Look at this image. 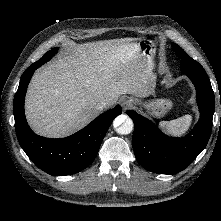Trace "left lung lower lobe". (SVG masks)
I'll list each match as a JSON object with an SVG mask.
<instances>
[{
    "instance_id": "1",
    "label": "left lung lower lobe",
    "mask_w": 221,
    "mask_h": 221,
    "mask_svg": "<svg viewBox=\"0 0 221 221\" xmlns=\"http://www.w3.org/2000/svg\"><path fill=\"white\" fill-rule=\"evenodd\" d=\"M185 74L196 88L200 119L195 127L182 138L163 134L150 120L128 110L134 122L132 146L137 161L148 171L173 174L189 166L206 147L212 129L215 106L214 92L203 67L190 56L181 58Z\"/></svg>"
}]
</instances>
